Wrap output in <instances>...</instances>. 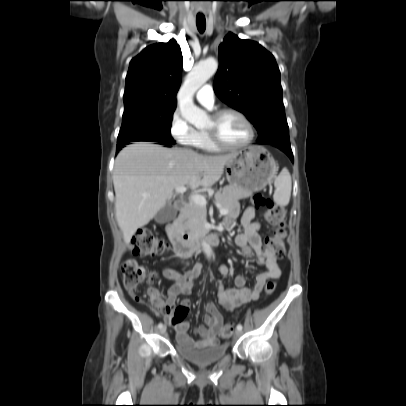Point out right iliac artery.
I'll return each instance as SVG.
<instances>
[{
  "instance_id": "82829eb1",
  "label": "right iliac artery",
  "mask_w": 406,
  "mask_h": 406,
  "mask_svg": "<svg viewBox=\"0 0 406 406\" xmlns=\"http://www.w3.org/2000/svg\"><path fill=\"white\" fill-rule=\"evenodd\" d=\"M163 327V324L162 323H159L158 324V328H162Z\"/></svg>"
}]
</instances>
